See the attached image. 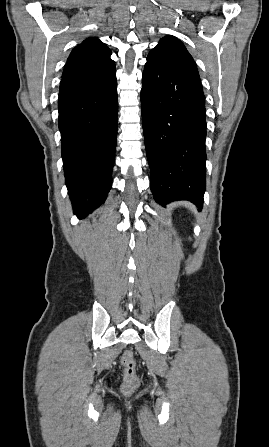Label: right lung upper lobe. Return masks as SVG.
Masks as SVG:
<instances>
[{"label":"right lung upper lobe","instance_id":"obj_1","mask_svg":"<svg viewBox=\"0 0 269 447\" xmlns=\"http://www.w3.org/2000/svg\"><path fill=\"white\" fill-rule=\"evenodd\" d=\"M110 49L96 37L85 39L76 46L65 66L62 78L86 74L114 64Z\"/></svg>","mask_w":269,"mask_h":447}]
</instances>
